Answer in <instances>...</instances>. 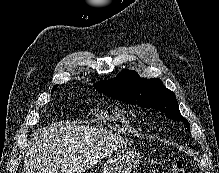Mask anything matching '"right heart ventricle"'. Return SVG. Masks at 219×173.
I'll list each match as a JSON object with an SVG mask.
<instances>
[{
    "mask_svg": "<svg viewBox=\"0 0 219 173\" xmlns=\"http://www.w3.org/2000/svg\"><path fill=\"white\" fill-rule=\"evenodd\" d=\"M99 115L105 120L109 121L115 130L120 132H129L132 130V128L126 122L124 114L120 110H102L99 112Z\"/></svg>",
    "mask_w": 219,
    "mask_h": 173,
    "instance_id": "right-heart-ventricle-1",
    "label": "right heart ventricle"
}]
</instances>
